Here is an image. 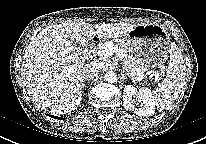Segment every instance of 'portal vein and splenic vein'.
Returning <instances> with one entry per match:
<instances>
[{
    "label": "portal vein and splenic vein",
    "mask_w": 206,
    "mask_h": 144,
    "mask_svg": "<svg viewBox=\"0 0 206 144\" xmlns=\"http://www.w3.org/2000/svg\"><path fill=\"white\" fill-rule=\"evenodd\" d=\"M114 53H116V55L118 57L121 58V49L118 48L117 46L108 44V45H103L102 47L99 48V50L97 51V56L102 57V58H107L109 56H112ZM154 75V79L155 82L159 83V74L157 72H151ZM149 73V74H151ZM143 77L139 76L137 78V80H142Z\"/></svg>",
    "instance_id": "18ae733b"
}]
</instances>
